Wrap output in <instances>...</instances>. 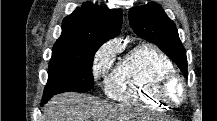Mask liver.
<instances>
[{"label": "liver", "instance_id": "6515ba94", "mask_svg": "<svg viewBox=\"0 0 217 121\" xmlns=\"http://www.w3.org/2000/svg\"><path fill=\"white\" fill-rule=\"evenodd\" d=\"M138 111L122 105H107L78 93L53 97L44 109L45 121H135Z\"/></svg>", "mask_w": 217, "mask_h": 121}]
</instances>
